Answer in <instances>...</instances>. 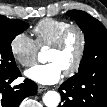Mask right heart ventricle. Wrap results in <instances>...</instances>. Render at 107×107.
Here are the masks:
<instances>
[{"mask_svg": "<svg viewBox=\"0 0 107 107\" xmlns=\"http://www.w3.org/2000/svg\"><path fill=\"white\" fill-rule=\"evenodd\" d=\"M72 23L68 20L46 18L39 21L33 28L38 47L51 46L59 35Z\"/></svg>", "mask_w": 107, "mask_h": 107, "instance_id": "1", "label": "right heart ventricle"}]
</instances>
